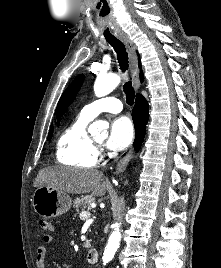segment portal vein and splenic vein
Here are the masks:
<instances>
[{
	"mask_svg": "<svg viewBox=\"0 0 221 268\" xmlns=\"http://www.w3.org/2000/svg\"><path fill=\"white\" fill-rule=\"evenodd\" d=\"M90 216H91V214H90L89 211H82V212L80 213V218H81V219H88V218H90Z\"/></svg>",
	"mask_w": 221,
	"mask_h": 268,
	"instance_id": "18ae733b",
	"label": "portal vein and splenic vein"
}]
</instances>
